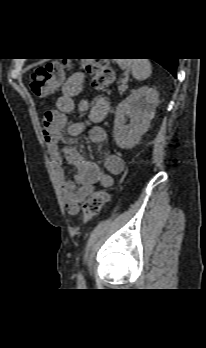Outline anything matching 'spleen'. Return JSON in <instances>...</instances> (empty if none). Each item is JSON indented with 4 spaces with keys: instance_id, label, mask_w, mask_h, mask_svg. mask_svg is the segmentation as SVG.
I'll use <instances>...</instances> for the list:
<instances>
[{
    "instance_id": "spleen-1",
    "label": "spleen",
    "mask_w": 206,
    "mask_h": 348,
    "mask_svg": "<svg viewBox=\"0 0 206 348\" xmlns=\"http://www.w3.org/2000/svg\"><path fill=\"white\" fill-rule=\"evenodd\" d=\"M121 69H131L132 75L137 80H145L151 74V64L148 59H117Z\"/></svg>"
}]
</instances>
